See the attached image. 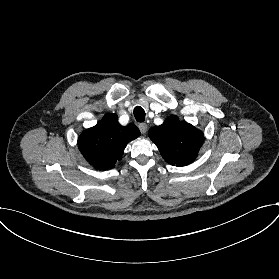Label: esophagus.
<instances>
[{
  "mask_svg": "<svg viewBox=\"0 0 279 279\" xmlns=\"http://www.w3.org/2000/svg\"><path fill=\"white\" fill-rule=\"evenodd\" d=\"M140 132L144 135L148 130V125L146 123H140L138 125Z\"/></svg>",
  "mask_w": 279,
  "mask_h": 279,
  "instance_id": "obj_1",
  "label": "esophagus"
}]
</instances>
